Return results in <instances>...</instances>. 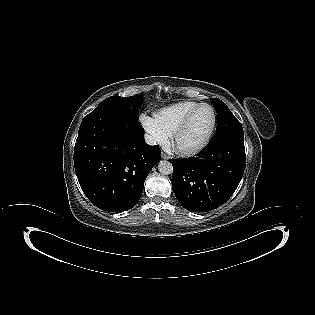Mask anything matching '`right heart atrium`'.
<instances>
[{
  "instance_id": "obj_1",
  "label": "right heart atrium",
  "mask_w": 315,
  "mask_h": 315,
  "mask_svg": "<svg viewBox=\"0 0 315 315\" xmlns=\"http://www.w3.org/2000/svg\"><path fill=\"white\" fill-rule=\"evenodd\" d=\"M140 122L144 130L148 133L151 143L161 146L168 143L169 135L160 126L155 117L143 114L140 117Z\"/></svg>"
}]
</instances>
